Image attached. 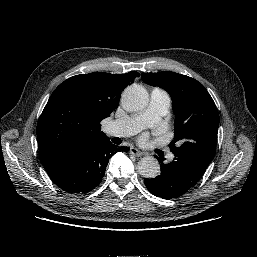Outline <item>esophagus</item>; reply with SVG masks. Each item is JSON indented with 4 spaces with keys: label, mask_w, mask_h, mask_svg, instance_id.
Masks as SVG:
<instances>
[{
    "label": "esophagus",
    "mask_w": 257,
    "mask_h": 257,
    "mask_svg": "<svg viewBox=\"0 0 257 257\" xmlns=\"http://www.w3.org/2000/svg\"><path fill=\"white\" fill-rule=\"evenodd\" d=\"M129 152H130L131 155L136 156V157H141V156L144 155L143 152L139 151L136 148H131Z\"/></svg>",
    "instance_id": "esophagus-1"
}]
</instances>
